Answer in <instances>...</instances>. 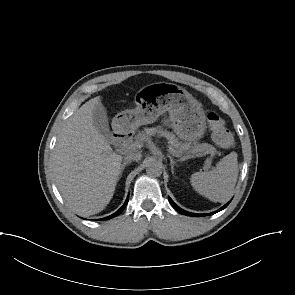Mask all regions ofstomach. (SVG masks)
Wrapping results in <instances>:
<instances>
[{"label":"stomach","mask_w":295,"mask_h":295,"mask_svg":"<svg viewBox=\"0 0 295 295\" xmlns=\"http://www.w3.org/2000/svg\"><path fill=\"white\" fill-rule=\"evenodd\" d=\"M136 108L118 115L117 120L130 129L155 122L169 113L172 128L179 138L192 142L200 139L206 129L202 104L187 90L173 83L158 82L140 90Z\"/></svg>","instance_id":"obj_1"}]
</instances>
